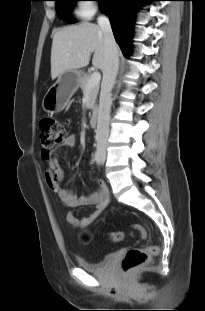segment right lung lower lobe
Segmentation results:
<instances>
[{
	"mask_svg": "<svg viewBox=\"0 0 205 311\" xmlns=\"http://www.w3.org/2000/svg\"><path fill=\"white\" fill-rule=\"evenodd\" d=\"M150 0H101L102 11L110 18L117 43L125 57L130 55L135 13L140 5Z\"/></svg>",
	"mask_w": 205,
	"mask_h": 311,
	"instance_id": "obj_1",
	"label": "right lung lower lobe"
}]
</instances>
